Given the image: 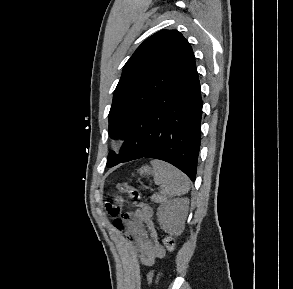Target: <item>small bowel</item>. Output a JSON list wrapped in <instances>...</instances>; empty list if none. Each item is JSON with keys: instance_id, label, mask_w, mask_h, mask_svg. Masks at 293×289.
<instances>
[{"instance_id": "obj_1", "label": "small bowel", "mask_w": 293, "mask_h": 289, "mask_svg": "<svg viewBox=\"0 0 293 289\" xmlns=\"http://www.w3.org/2000/svg\"><path fill=\"white\" fill-rule=\"evenodd\" d=\"M122 202V199H118ZM114 227L122 232L129 242L126 248L129 253L145 267H152L156 259L165 256L158 230L152 220V210L146 204H140L134 211L114 219ZM153 273L148 274L149 284Z\"/></svg>"}]
</instances>
